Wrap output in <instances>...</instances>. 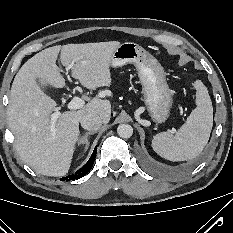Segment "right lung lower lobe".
<instances>
[{"instance_id": "obj_1", "label": "right lung lower lobe", "mask_w": 233, "mask_h": 233, "mask_svg": "<svg viewBox=\"0 0 233 233\" xmlns=\"http://www.w3.org/2000/svg\"><path fill=\"white\" fill-rule=\"evenodd\" d=\"M96 153H97V147H95L90 159L82 168H80L78 171H76L75 174L63 177V178H61V180L62 181L63 180L69 181V180H74V179H78V178L85 176L91 170V168L94 164Z\"/></svg>"}]
</instances>
